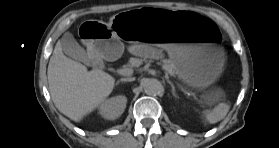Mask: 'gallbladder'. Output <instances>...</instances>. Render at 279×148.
<instances>
[{
  "instance_id": "1",
  "label": "gallbladder",
  "mask_w": 279,
  "mask_h": 148,
  "mask_svg": "<svg viewBox=\"0 0 279 148\" xmlns=\"http://www.w3.org/2000/svg\"><path fill=\"white\" fill-rule=\"evenodd\" d=\"M61 47L63 52L69 56L70 58L83 62L88 63L89 59L87 56V53L84 48H82L79 43L76 41L74 36L67 32L62 37L61 41Z\"/></svg>"
}]
</instances>
